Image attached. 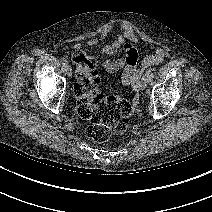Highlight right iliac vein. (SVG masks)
<instances>
[{
  "label": "right iliac vein",
  "mask_w": 212,
  "mask_h": 212,
  "mask_svg": "<svg viewBox=\"0 0 212 212\" xmlns=\"http://www.w3.org/2000/svg\"><path fill=\"white\" fill-rule=\"evenodd\" d=\"M65 70H66V72H67V75L69 76V77H71L72 76V69H71V67H70V65H65Z\"/></svg>",
  "instance_id": "63e3f726"
}]
</instances>
